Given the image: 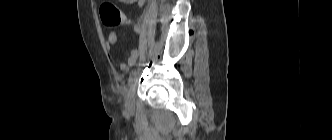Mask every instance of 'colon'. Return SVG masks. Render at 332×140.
<instances>
[{
    "label": "colon",
    "mask_w": 332,
    "mask_h": 140,
    "mask_svg": "<svg viewBox=\"0 0 332 140\" xmlns=\"http://www.w3.org/2000/svg\"><path fill=\"white\" fill-rule=\"evenodd\" d=\"M100 17L104 25L109 27L127 25L128 19L113 3L104 2L100 7Z\"/></svg>",
    "instance_id": "obj_1"
}]
</instances>
